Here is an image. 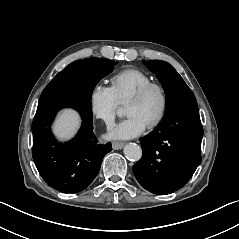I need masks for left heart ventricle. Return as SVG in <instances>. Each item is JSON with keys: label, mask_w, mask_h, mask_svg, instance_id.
Segmentation results:
<instances>
[{"label": "left heart ventricle", "mask_w": 239, "mask_h": 239, "mask_svg": "<svg viewBox=\"0 0 239 239\" xmlns=\"http://www.w3.org/2000/svg\"><path fill=\"white\" fill-rule=\"evenodd\" d=\"M161 105L162 99L159 91L152 90L143 100L127 104L125 111L127 115L139 116L148 126L159 114Z\"/></svg>", "instance_id": "left-heart-ventricle-1"}]
</instances>
